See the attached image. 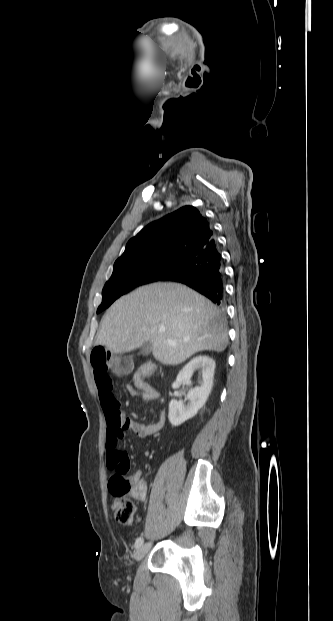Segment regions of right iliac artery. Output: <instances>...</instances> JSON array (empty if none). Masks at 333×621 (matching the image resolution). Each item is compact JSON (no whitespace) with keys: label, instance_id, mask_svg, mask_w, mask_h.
I'll return each mask as SVG.
<instances>
[{"label":"right iliac artery","instance_id":"1","mask_svg":"<svg viewBox=\"0 0 333 621\" xmlns=\"http://www.w3.org/2000/svg\"><path fill=\"white\" fill-rule=\"evenodd\" d=\"M143 544V537H138L135 541V548L138 549Z\"/></svg>","mask_w":333,"mask_h":621}]
</instances>
